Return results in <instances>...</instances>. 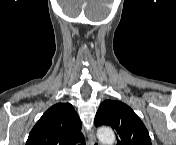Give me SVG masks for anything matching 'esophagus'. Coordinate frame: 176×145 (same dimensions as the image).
<instances>
[{
	"label": "esophagus",
	"mask_w": 176,
	"mask_h": 145,
	"mask_svg": "<svg viewBox=\"0 0 176 145\" xmlns=\"http://www.w3.org/2000/svg\"><path fill=\"white\" fill-rule=\"evenodd\" d=\"M87 145H99L98 141L95 138V135H94L93 131H91L89 133L88 144Z\"/></svg>",
	"instance_id": "esophagus-1"
}]
</instances>
